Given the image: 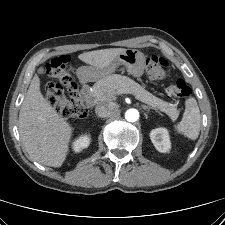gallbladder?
Instances as JSON below:
<instances>
[{
    "label": "gallbladder",
    "mask_w": 225,
    "mask_h": 225,
    "mask_svg": "<svg viewBox=\"0 0 225 225\" xmlns=\"http://www.w3.org/2000/svg\"><path fill=\"white\" fill-rule=\"evenodd\" d=\"M39 72L41 73V72H42V70H41V69H39Z\"/></svg>",
    "instance_id": "obj_1"
}]
</instances>
